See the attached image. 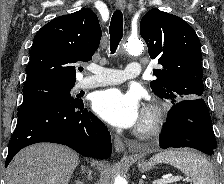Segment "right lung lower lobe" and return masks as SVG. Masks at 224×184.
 I'll return each instance as SVG.
<instances>
[{
  "mask_svg": "<svg viewBox=\"0 0 224 184\" xmlns=\"http://www.w3.org/2000/svg\"><path fill=\"white\" fill-rule=\"evenodd\" d=\"M110 138L106 126L84 108L82 100L37 105L18 115L5 167L19 150L39 142L67 145L83 156L106 159L112 152Z\"/></svg>",
  "mask_w": 224,
  "mask_h": 184,
  "instance_id": "98d812e1",
  "label": "right lung lower lobe"
}]
</instances>
